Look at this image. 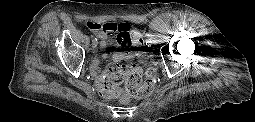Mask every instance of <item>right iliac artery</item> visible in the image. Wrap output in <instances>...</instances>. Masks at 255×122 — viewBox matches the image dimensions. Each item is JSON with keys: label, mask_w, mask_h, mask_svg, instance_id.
Wrapping results in <instances>:
<instances>
[{"label": "right iliac artery", "mask_w": 255, "mask_h": 122, "mask_svg": "<svg viewBox=\"0 0 255 122\" xmlns=\"http://www.w3.org/2000/svg\"><path fill=\"white\" fill-rule=\"evenodd\" d=\"M92 43H97V38L96 37L93 38Z\"/></svg>", "instance_id": "1"}]
</instances>
